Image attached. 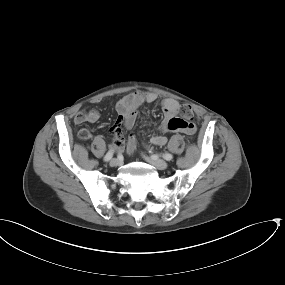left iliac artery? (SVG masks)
Listing matches in <instances>:
<instances>
[{
	"mask_svg": "<svg viewBox=\"0 0 285 285\" xmlns=\"http://www.w3.org/2000/svg\"><path fill=\"white\" fill-rule=\"evenodd\" d=\"M162 157H163L165 160H167V161H170V160L173 159V156H172L170 153H164V154L162 155Z\"/></svg>",
	"mask_w": 285,
	"mask_h": 285,
	"instance_id": "left-iliac-artery-1",
	"label": "left iliac artery"
}]
</instances>
